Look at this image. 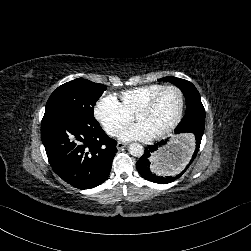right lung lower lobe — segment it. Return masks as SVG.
I'll return each instance as SVG.
<instances>
[{
  "mask_svg": "<svg viewBox=\"0 0 251 251\" xmlns=\"http://www.w3.org/2000/svg\"><path fill=\"white\" fill-rule=\"evenodd\" d=\"M41 139L52 169L72 186L94 188L109 176L117 142L105 134L95 118L47 112L41 123Z\"/></svg>",
  "mask_w": 251,
  "mask_h": 251,
  "instance_id": "1",
  "label": "right lung lower lobe"
}]
</instances>
